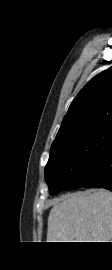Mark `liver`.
Returning <instances> with one entry per match:
<instances>
[{"label": "liver", "mask_w": 112, "mask_h": 270, "mask_svg": "<svg viewBox=\"0 0 112 270\" xmlns=\"http://www.w3.org/2000/svg\"><path fill=\"white\" fill-rule=\"evenodd\" d=\"M111 239L110 191L73 193L50 211L47 242H109Z\"/></svg>", "instance_id": "obj_1"}]
</instances>
